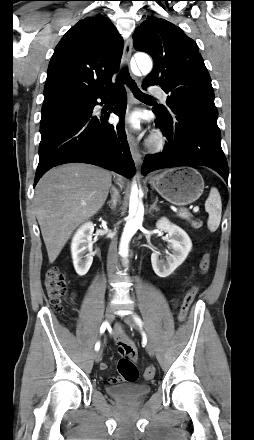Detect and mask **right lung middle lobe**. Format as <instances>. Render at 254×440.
Wrapping results in <instances>:
<instances>
[{"instance_id":"dd1d6c3e","label":"right lung middle lobe","mask_w":254,"mask_h":440,"mask_svg":"<svg viewBox=\"0 0 254 440\" xmlns=\"http://www.w3.org/2000/svg\"><path fill=\"white\" fill-rule=\"evenodd\" d=\"M83 105L80 97L75 94H60L44 100L41 109L40 132L44 134L49 125L61 119L68 111L79 108Z\"/></svg>"}]
</instances>
